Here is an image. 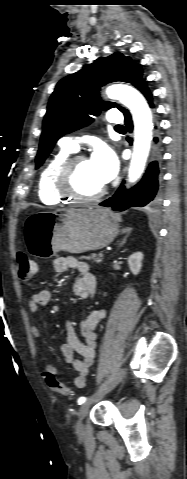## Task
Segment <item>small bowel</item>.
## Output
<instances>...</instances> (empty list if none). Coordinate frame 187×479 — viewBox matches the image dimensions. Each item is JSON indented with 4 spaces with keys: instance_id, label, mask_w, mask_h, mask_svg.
I'll return each mask as SVG.
<instances>
[{
    "instance_id": "small-bowel-1",
    "label": "small bowel",
    "mask_w": 187,
    "mask_h": 479,
    "mask_svg": "<svg viewBox=\"0 0 187 479\" xmlns=\"http://www.w3.org/2000/svg\"><path fill=\"white\" fill-rule=\"evenodd\" d=\"M54 269L58 273H63L70 269L77 270L79 277L74 284L75 295L84 300L90 299L93 296L96 290V277L90 271L88 263L74 257H58L54 260ZM51 298L52 293L47 289L34 293L28 303L30 312L37 313L50 302ZM105 315L106 311L103 308L90 312L80 325V333L84 341L80 340L74 324L71 321L66 322V341L60 345V351L64 356L66 364L75 371L74 384L77 388H84L86 386L87 377L96 356V330ZM31 334L34 338L41 336V328L39 325H33L31 327ZM76 354H78L80 358H75ZM48 373L54 376L57 375V369L51 363H46L42 370L44 378Z\"/></svg>"
}]
</instances>
